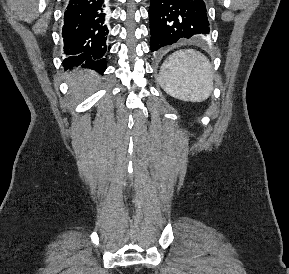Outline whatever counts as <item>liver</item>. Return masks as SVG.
Masks as SVG:
<instances>
[{"mask_svg": "<svg viewBox=\"0 0 289 274\" xmlns=\"http://www.w3.org/2000/svg\"><path fill=\"white\" fill-rule=\"evenodd\" d=\"M96 74L92 71H75V73L68 77L69 94L72 100L78 101L91 88Z\"/></svg>", "mask_w": 289, "mask_h": 274, "instance_id": "1", "label": "liver"}]
</instances>
